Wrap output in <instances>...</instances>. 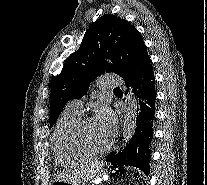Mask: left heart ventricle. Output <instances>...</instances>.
<instances>
[{
	"instance_id": "b2bd125f",
	"label": "left heart ventricle",
	"mask_w": 207,
	"mask_h": 185,
	"mask_svg": "<svg viewBox=\"0 0 207 185\" xmlns=\"http://www.w3.org/2000/svg\"><path fill=\"white\" fill-rule=\"evenodd\" d=\"M83 134L87 143L95 150L104 149L111 139L108 134L95 124L94 120L89 121L85 125Z\"/></svg>"
}]
</instances>
